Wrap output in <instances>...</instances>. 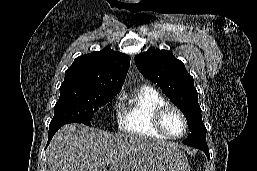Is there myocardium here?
I'll return each instance as SVG.
<instances>
[{"label":"myocardium","mask_w":257,"mask_h":171,"mask_svg":"<svg viewBox=\"0 0 257 171\" xmlns=\"http://www.w3.org/2000/svg\"><path fill=\"white\" fill-rule=\"evenodd\" d=\"M171 110L176 111L180 115V117L183 121V124H184L183 132L178 136H173V135L169 134L163 124V119H164L165 115ZM153 124H154L155 129L157 131H159L161 134H163L165 137H167L168 139H180L188 131V120H187L184 112L179 107L169 104V103L161 106L160 108H158L156 110V112L154 114V118H153Z\"/></svg>","instance_id":"f54148a6"}]
</instances>
